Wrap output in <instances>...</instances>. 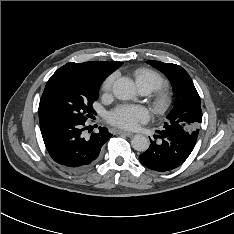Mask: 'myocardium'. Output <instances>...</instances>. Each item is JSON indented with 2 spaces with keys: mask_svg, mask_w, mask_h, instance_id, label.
<instances>
[{
  "mask_svg": "<svg viewBox=\"0 0 234 234\" xmlns=\"http://www.w3.org/2000/svg\"><path fill=\"white\" fill-rule=\"evenodd\" d=\"M171 106V97L165 91H159L154 100H153V108L157 114L165 113L169 107Z\"/></svg>",
  "mask_w": 234,
  "mask_h": 234,
  "instance_id": "obj_1",
  "label": "myocardium"
}]
</instances>
